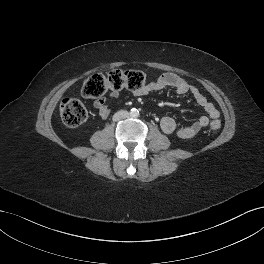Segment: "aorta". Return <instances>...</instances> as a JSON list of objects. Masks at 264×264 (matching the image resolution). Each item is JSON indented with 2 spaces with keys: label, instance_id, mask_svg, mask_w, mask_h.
Instances as JSON below:
<instances>
[{
  "label": "aorta",
  "instance_id": "1",
  "mask_svg": "<svg viewBox=\"0 0 264 264\" xmlns=\"http://www.w3.org/2000/svg\"><path fill=\"white\" fill-rule=\"evenodd\" d=\"M130 116L133 117V118H136L139 116V110L136 109V108H132L131 111H130Z\"/></svg>",
  "mask_w": 264,
  "mask_h": 264
}]
</instances>
